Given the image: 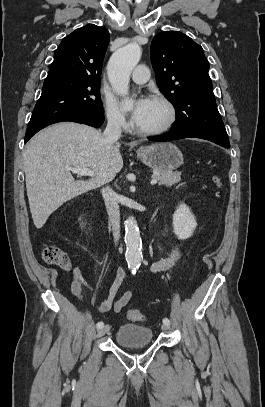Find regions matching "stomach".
Returning a JSON list of instances; mask_svg holds the SVG:
<instances>
[{
  "mask_svg": "<svg viewBox=\"0 0 265 407\" xmlns=\"http://www.w3.org/2000/svg\"><path fill=\"white\" fill-rule=\"evenodd\" d=\"M137 155L145 165L157 171H172L183 164L181 151L170 142L141 147Z\"/></svg>",
  "mask_w": 265,
  "mask_h": 407,
  "instance_id": "1",
  "label": "stomach"
}]
</instances>
